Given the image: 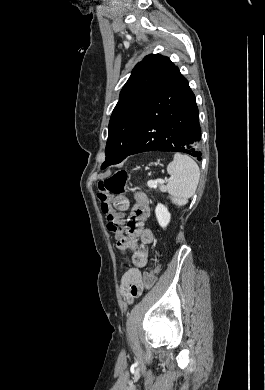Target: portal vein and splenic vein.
Returning <instances> with one entry per match:
<instances>
[{
  "instance_id": "obj_1",
  "label": "portal vein and splenic vein",
  "mask_w": 265,
  "mask_h": 390,
  "mask_svg": "<svg viewBox=\"0 0 265 390\" xmlns=\"http://www.w3.org/2000/svg\"><path fill=\"white\" fill-rule=\"evenodd\" d=\"M170 180H172V177L169 179H166V180H157V181L150 180V181H148V185L150 187L156 188L158 183H164V182L170 181Z\"/></svg>"
}]
</instances>
